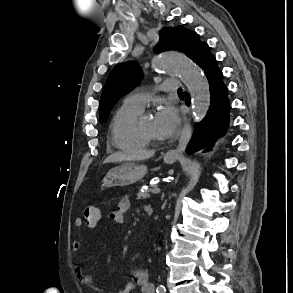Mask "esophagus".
<instances>
[{
    "mask_svg": "<svg viewBox=\"0 0 293 293\" xmlns=\"http://www.w3.org/2000/svg\"><path fill=\"white\" fill-rule=\"evenodd\" d=\"M189 132V126H188V122L185 123V126H184V132L180 138V141H179V145L176 149L174 150H170L168 152V155L170 156H178L180 155L186 148V145H187V141H186V136H187V133Z\"/></svg>",
    "mask_w": 293,
    "mask_h": 293,
    "instance_id": "obj_1",
    "label": "esophagus"
}]
</instances>
